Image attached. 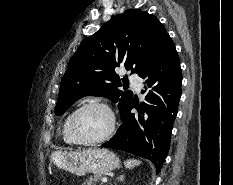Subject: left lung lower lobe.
<instances>
[{"label": "left lung lower lobe", "instance_id": "left-lung-lower-lobe-1", "mask_svg": "<svg viewBox=\"0 0 233 185\" xmlns=\"http://www.w3.org/2000/svg\"><path fill=\"white\" fill-rule=\"evenodd\" d=\"M139 76L145 80L142 93L147 92L145 102L136 107L139 114L131 113L133 100L121 117L122 124L117 133L102 146L149 159L158 173L169 150L181 97L182 71L170 36Z\"/></svg>", "mask_w": 233, "mask_h": 185}]
</instances>
